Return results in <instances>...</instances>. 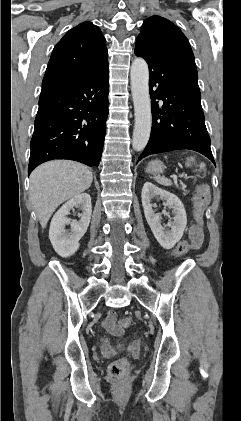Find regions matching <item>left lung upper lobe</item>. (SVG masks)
<instances>
[{"label": "left lung upper lobe", "instance_id": "obj_1", "mask_svg": "<svg viewBox=\"0 0 241 421\" xmlns=\"http://www.w3.org/2000/svg\"><path fill=\"white\" fill-rule=\"evenodd\" d=\"M136 40L159 51L183 54L194 59L190 44L182 31L161 16L147 18Z\"/></svg>", "mask_w": 241, "mask_h": 421}]
</instances>
